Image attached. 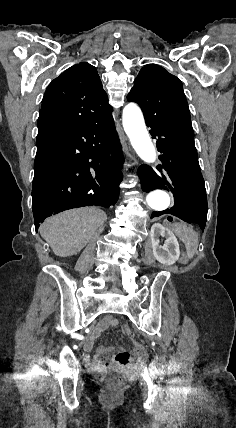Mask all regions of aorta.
<instances>
[{
    "instance_id": "1",
    "label": "aorta",
    "mask_w": 236,
    "mask_h": 428,
    "mask_svg": "<svg viewBox=\"0 0 236 428\" xmlns=\"http://www.w3.org/2000/svg\"><path fill=\"white\" fill-rule=\"evenodd\" d=\"M122 120L124 130L138 156L147 164L154 163L156 151L141 109L136 104L129 103L123 109ZM146 202L155 212H161L169 207L170 196L165 191L155 190L147 195Z\"/></svg>"
}]
</instances>
